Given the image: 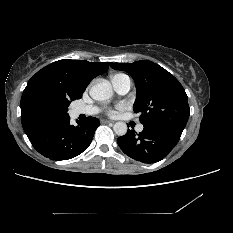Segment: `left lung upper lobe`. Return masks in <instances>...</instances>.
<instances>
[{
	"label": "left lung upper lobe",
	"instance_id": "5c2ea615",
	"mask_svg": "<svg viewBox=\"0 0 233 233\" xmlns=\"http://www.w3.org/2000/svg\"><path fill=\"white\" fill-rule=\"evenodd\" d=\"M110 67L128 72L134 79L137 98L133 110L144 126L182 133L190 109L184 88L171 73L148 60L110 62Z\"/></svg>",
	"mask_w": 233,
	"mask_h": 233
}]
</instances>
